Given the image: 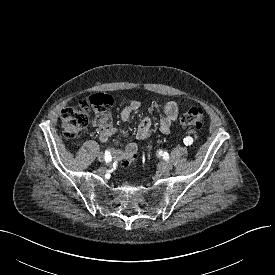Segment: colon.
<instances>
[{
    "mask_svg": "<svg viewBox=\"0 0 275 275\" xmlns=\"http://www.w3.org/2000/svg\"><path fill=\"white\" fill-rule=\"evenodd\" d=\"M112 105V98L104 94H96L79 103L76 107L62 111L63 134L68 139L76 138L89 122V113L95 114L96 121L108 117L107 112ZM204 123V112L201 108H189L180 118V124L185 127L201 128ZM131 162V161H130ZM125 163V165L129 164Z\"/></svg>",
    "mask_w": 275,
    "mask_h": 275,
    "instance_id": "obj_1",
    "label": "colon"
}]
</instances>
